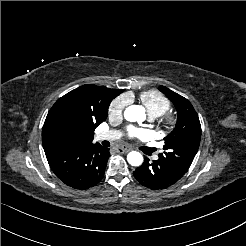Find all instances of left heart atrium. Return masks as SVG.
Returning <instances> with one entry per match:
<instances>
[{"label":"left heart atrium","mask_w":246,"mask_h":246,"mask_svg":"<svg viewBox=\"0 0 246 246\" xmlns=\"http://www.w3.org/2000/svg\"><path fill=\"white\" fill-rule=\"evenodd\" d=\"M150 132L144 128H135V127H128L127 129V136L129 138H137V139H145L149 137Z\"/></svg>","instance_id":"left-heart-atrium-1"}]
</instances>
